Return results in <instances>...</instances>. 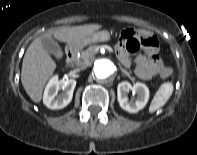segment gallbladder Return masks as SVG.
Listing matches in <instances>:
<instances>
[{"label": "gallbladder", "instance_id": "gallbladder-1", "mask_svg": "<svg viewBox=\"0 0 197 155\" xmlns=\"http://www.w3.org/2000/svg\"><path fill=\"white\" fill-rule=\"evenodd\" d=\"M42 44L44 49L56 59H61L63 57V52L58 43L52 38H43Z\"/></svg>", "mask_w": 197, "mask_h": 155}]
</instances>
